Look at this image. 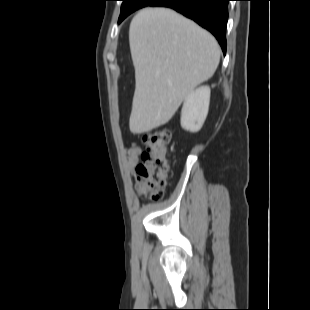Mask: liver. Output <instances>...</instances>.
Segmentation results:
<instances>
[{"mask_svg":"<svg viewBox=\"0 0 310 310\" xmlns=\"http://www.w3.org/2000/svg\"><path fill=\"white\" fill-rule=\"evenodd\" d=\"M129 43L136 81L129 119L133 134L166 124L220 61L216 39L167 8L139 11L130 24Z\"/></svg>","mask_w":310,"mask_h":310,"instance_id":"liver-1","label":"liver"}]
</instances>
